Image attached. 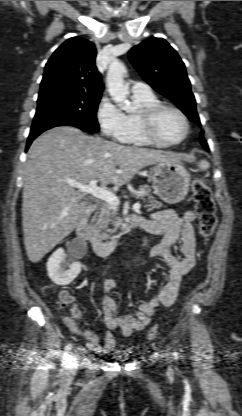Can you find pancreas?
<instances>
[{"mask_svg":"<svg viewBox=\"0 0 242 416\" xmlns=\"http://www.w3.org/2000/svg\"><path fill=\"white\" fill-rule=\"evenodd\" d=\"M138 192H142V194L138 195L136 192H134L133 195L146 202L145 207L148 208L149 211L159 209L163 206L160 201H158L153 195L150 194L151 190L148 185L141 186ZM91 222L93 224L92 228L98 237L101 239H107L109 237L107 233H112L115 231L114 229H108V227L110 225H119L121 219L118 217L117 207L104 202L99 206L98 211L93 216Z\"/></svg>","mask_w":242,"mask_h":416,"instance_id":"cf45deb5","label":"pancreas"}]
</instances>
